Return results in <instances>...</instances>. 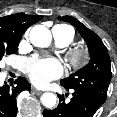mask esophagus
Masks as SVG:
<instances>
[{
    "instance_id": "obj_1",
    "label": "esophagus",
    "mask_w": 117,
    "mask_h": 117,
    "mask_svg": "<svg viewBox=\"0 0 117 117\" xmlns=\"http://www.w3.org/2000/svg\"><path fill=\"white\" fill-rule=\"evenodd\" d=\"M32 91L35 92L36 94H42L43 93L41 90H38L36 88H32Z\"/></svg>"
}]
</instances>
